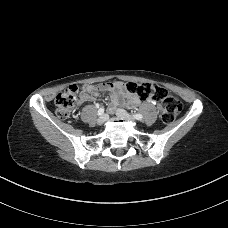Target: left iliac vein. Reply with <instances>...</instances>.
Segmentation results:
<instances>
[{"mask_svg":"<svg viewBox=\"0 0 228 228\" xmlns=\"http://www.w3.org/2000/svg\"><path fill=\"white\" fill-rule=\"evenodd\" d=\"M116 115L121 118H127L130 120H133V118L123 109H117L116 110Z\"/></svg>","mask_w":228,"mask_h":228,"instance_id":"1","label":"left iliac vein"}]
</instances>
